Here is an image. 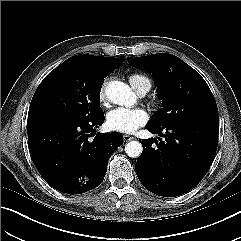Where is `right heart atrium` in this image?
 Masks as SVG:
<instances>
[{
  "mask_svg": "<svg viewBox=\"0 0 241 241\" xmlns=\"http://www.w3.org/2000/svg\"><path fill=\"white\" fill-rule=\"evenodd\" d=\"M107 81H105L100 90H99V100L103 103L106 100L105 88H106Z\"/></svg>",
  "mask_w": 241,
  "mask_h": 241,
  "instance_id": "right-heart-atrium-1",
  "label": "right heart atrium"
}]
</instances>
